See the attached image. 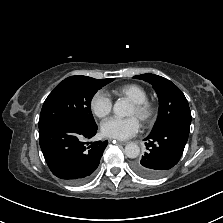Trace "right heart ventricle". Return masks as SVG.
Listing matches in <instances>:
<instances>
[{
	"mask_svg": "<svg viewBox=\"0 0 223 223\" xmlns=\"http://www.w3.org/2000/svg\"><path fill=\"white\" fill-rule=\"evenodd\" d=\"M117 96L126 97L132 102H140L147 99L148 94L144 87L136 83H128L112 89Z\"/></svg>",
	"mask_w": 223,
	"mask_h": 223,
	"instance_id": "e07e8e85",
	"label": "right heart ventricle"
}]
</instances>
